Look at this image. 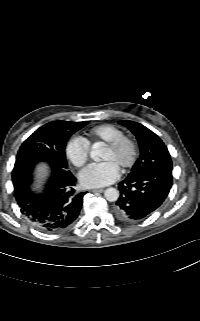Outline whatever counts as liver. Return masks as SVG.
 Listing matches in <instances>:
<instances>
[{
    "label": "liver",
    "mask_w": 200,
    "mask_h": 321,
    "mask_svg": "<svg viewBox=\"0 0 200 321\" xmlns=\"http://www.w3.org/2000/svg\"><path fill=\"white\" fill-rule=\"evenodd\" d=\"M46 166L45 165H41L38 167V177L41 179L45 176L46 174Z\"/></svg>",
    "instance_id": "1"
}]
</instances>
